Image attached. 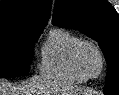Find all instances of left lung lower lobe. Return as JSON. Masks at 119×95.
<instances>
[{"label": "left lung lower lobe", "instance_id": "1", "mask_svg": "<svg viewBox=\"0 0 119 95\" xmlns=\"http://www.w3.org/2000/svg\"><path fill=\"white\" fill-rule=\"evenodd\" d=\"M105 93V92H104ZM106 95H111V94H109V93H105Z\"/></svg>", "mask_w": 119, "mask_h": 95}]
</instances>
